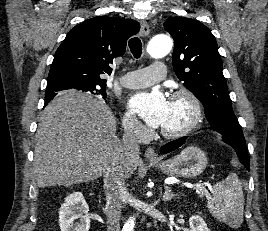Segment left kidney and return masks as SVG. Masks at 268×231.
<instances>
[{
  "mask_svg": "<svg viewBox=\"0 0 268 231\" xmlns=\"http://www.w3.org/2000/svg\"><path fill=\"white\" fill-rule=\"evenodd\" d=\"M190 231H210L205 221L198 215H193L189 219Z\"/></svg>",
  "mask_w": 268,
  "mask_h": 231,
  "instance_id": "5707ae66",
  "label": "left kidney"
}]
</instances>
